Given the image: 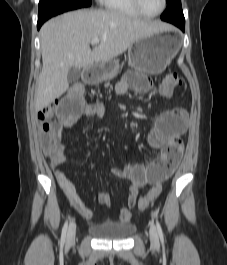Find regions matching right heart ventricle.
Masks as SVG:
<instances>
[{
	"mask_svg": "<svg viewBox=\"0 0 227 265\" xmlns=\"http://www.w3.org/2000/svg\"><path fill=\"white\" fill-rule=\"evenodd\" d=\"M100 2L105 9L111 12L132 17L140 16L131 0H100Z\"/></svg>",
	"mask_w": 227,
	"mask_h": 265,
	"instance_id": "obj_1",
	"label": "right heart ventricle"
}]
</instances>
